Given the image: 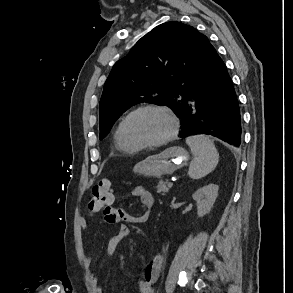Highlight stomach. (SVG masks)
I'll list each match as a JSON object with an SVG mask.
<instances>
[{
	"mask_svg": "<svg viewBox=\"0 0 293 293\" xmlns=\"http://www.w3.org/2000/svg\"><path fill=\"white\" fill-rule=\"evenodd\" d=\"M189 160L188 152L180 147L173 146L159 154L151 155L134 166V172L147 177L161 178L173 174L185 166Z\"/></svg>",
	"mask_w": 293,
	"mask_h": 293,
	"instance_id": "0dacf381",
	"label": "stomach"
}]
</instances>
